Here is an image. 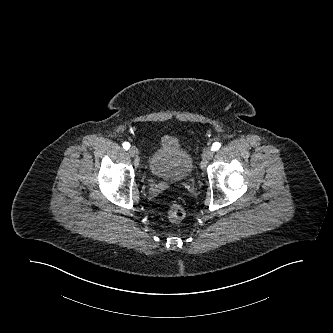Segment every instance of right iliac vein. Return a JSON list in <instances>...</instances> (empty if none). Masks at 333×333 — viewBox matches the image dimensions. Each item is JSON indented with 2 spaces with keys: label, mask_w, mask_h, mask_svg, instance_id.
<instances>
[{
  "label": "right iliac vein",
  "mask_w": 333,
  "mask_h": 333,
  "mask_svg": "<svg viewBox=\"0 0 333 333\" xmlns=\"http://www.w3.org/2000/svg\"><path fill=\"white\" fill-rule=\"evenodd\" d=\"M138 149H137V147H135V146H131L130 148H129V154L132 156V157H136L137 155H138Z\"/></svg>",
  "instance_id": "1"
}]
</instances>
